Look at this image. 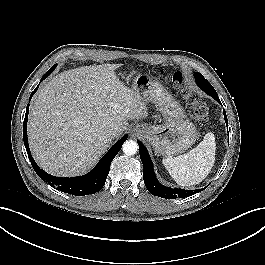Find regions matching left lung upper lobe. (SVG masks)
Instances as JSON below:
<instances>
[{"instance_id": "5c2ea615", "label": "left lung upper lobe", "mask_w": 265, "mask_h": 265, "mask_svg": "<svg viewBox=\"0 0 265 265\" xmlns=\"http://www.w3.org/2000/svg\"><path fill=\"white\" fill-rule=\"evenodd\" d=\"M195 74H199V75H201L199 72H195ZM195 74H194V75H195Z\"/></svg>"}]
</instances>
